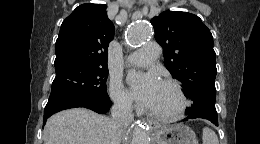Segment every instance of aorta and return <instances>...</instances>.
Masks as SVG:
<instances>
[{"mask_svg":"<svg viewBox=\"0 0 260 144\" xmlns=\"http://www.w3.org/2000/svg\"><path fill=\"white\" fill-rule=\"evenodd\" d=\"M151 35L150 26L146 22H136L128 30L126 42L129 45H138L146 42ZM132 144H150V138L140 123L133 130Z\"/></svg>","mask_w":260,"mask_h":144,"instance_id":"762f6f07","label":"aorta"}]
</instances>
